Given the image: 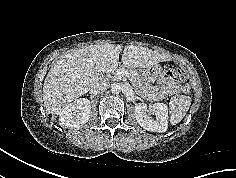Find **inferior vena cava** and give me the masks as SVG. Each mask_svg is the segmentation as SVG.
Returning <instances> with one entry per match:
<instances>
[{
    "label": "inferior vena cava",
    "mask_w": 236,
    "mask_h": 178,
    "mask_svg": "<svg viewBox=\"0 0 236 178\" xmlns=\"http://www.w3.org/2000/svg\"><path fill=\"white\" fill-rule=\"evenodd\" d=\"M108 87H109V83L106 80H102V81L94 84L92 86V88L90 89V92L92 94L103 93L107 90Z\"/></svg>",
    "instance_id": "obj_1"
}]
</instances>
